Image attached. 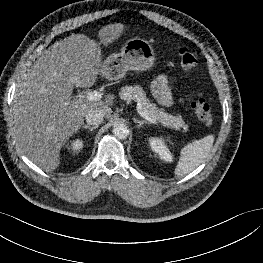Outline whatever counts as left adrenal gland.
Here are the masks:
<instances>
[{
    "label": "left adrenal gland",
    "instance_id": "a2214340",
    "mask_svg": "<svg viewBox=\"0 0 263 263\" xmlns=\"http://www.w3.org/2000/svg\"><path fill=\"white\" fill-rule=\"evenodd\" d=\"M133 121L135 122V123H137V127L138 128H140V127H142V125H144V124H150L148 121H146V120H138L137 118H133Z\"/></svg>",
    "mask_w": 263,
    "mask_h": 263
}]
</instances>
